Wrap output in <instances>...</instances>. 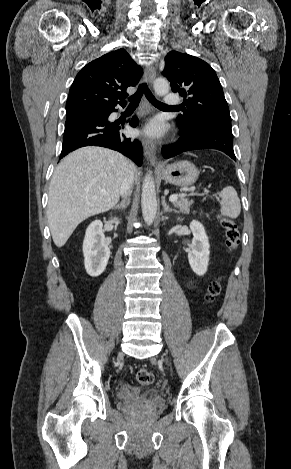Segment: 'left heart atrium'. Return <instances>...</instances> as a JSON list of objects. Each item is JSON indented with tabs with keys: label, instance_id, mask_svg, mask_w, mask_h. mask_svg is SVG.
<instances>
[{
	"label": "left heart atrium",
	"instance_id": "left-heart-atrium-1",
	"mask_svg": "<svg viewBox=\"0 0 291 469\" xmlns=\"http://www.w3.org/2000/svg\"><path fill=\"white\" fill-rule=\"evenodd\" d=\"M145 133L149 136H160L163 133V127L159 120H152L145 128Z\"/></svg>",
	"mask_w": 291,
	"mask_h": 469
}]
</instances>
